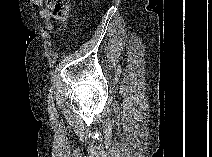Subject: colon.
I'll use <instances>...</instances> for the list:
<instances>
[{
  "label": "colon",
  "instance_id": "5ec220e1",
  "mask_svg": "<svg viewBox=\"0 0 212 157\" xmlns=\"http://www.w3.org/2000/svg\"><path fill=\"white\" fill-rule=\"evenodd\" d=\"M51 16L59 24H65L69 19V2L65 0H49L47 2Z\"/></svg>",
  "mask_w": 212,
  "mask_h": 157
}]
</instances>
